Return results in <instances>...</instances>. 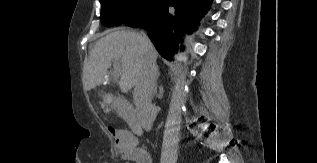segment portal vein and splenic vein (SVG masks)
Masks as SVG:
<instances>
[{
	"label": "portal vein and splenic vein",
	"mask_w": 317,
	"mask_h": 163,
	"mask_svg": "<svg viewBox=\"0 0 317 163\" xmlns=\"http://www.w3.org/2000/svg\"><path fill=\"white\" fill-rule=\"evenodd\" d=\"M113 67H114V70L112 72V77L117 79L120 76V63H119V61H114Z\"/></svg>",
	"instance_id": "18ae733b"
}]
</instances>
